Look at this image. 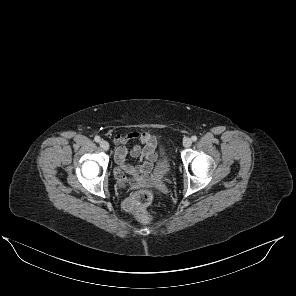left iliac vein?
<instances>
[{"label": "left iliac vein", "instance_id": "4c4485c4", "mask_svg": "<svg viewBox=\"0 0 296 296\" xmlns=\"http://www.w3.org/2000/svg\"><path fill=\"white\" fill-rule=\"evenodd\" d=\"M191 144H192V140L190 138H185L183 140V145L185 148H189L191 146Z\"/></svg>", "mask_w": 296, "mask_h": 296}]
</instances>
